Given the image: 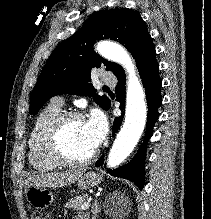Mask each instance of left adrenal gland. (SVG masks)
Returning a JSON list of instances; mask_svg holds the SVG:
<instances>
[{
    "mask_svg": "<svg viewBox=\"0 0 211 219\" xmlns=\"http://www.w3.org/2000/svg\"><path fill=\"white\" fill-rule=\"evenodd\" d=\"M101 211V208L97 202V200L94 201L93 205H92V219H96L98 216V213Z\"/></svg>",
    "mask_w": 211,
    "mask_h": 219,
    "instance_id": "1",
    "label": "left adrenal gland"
}]
</instances>
